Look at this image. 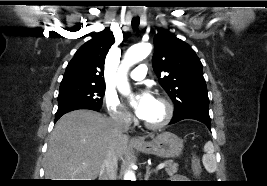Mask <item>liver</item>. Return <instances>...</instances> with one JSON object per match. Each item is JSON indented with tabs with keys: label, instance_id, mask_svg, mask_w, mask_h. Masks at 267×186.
Returning <instances> with one entry per match:
<instances>
[{
	"label": "liver",
	"instance_id": "liver-1",
	"mask_svg": "<svg viewBox=\"0 0 267 186\" xmlns=\"http://www.w3.org/2000/svg\"><path fill=\"white\" fill-rule=\"evenodd\" d=\"M111 120L90 110L62 116L49 137L44 158L45 178L95 180L110 146L117 158L128 149V136H113Z\"/></svg>",
	"mask_w": 267,
	"mask_h": 186
}]
</instances>
